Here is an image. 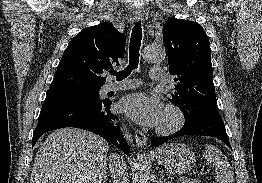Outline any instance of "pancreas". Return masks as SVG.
Returning <instances> with one entry per match:
<instances>
[{"label": "pancreas", "mask_w": 262, "mask_h": 183, "mask_svg": "<svg viewBox=\"0 0 262 183\" xmlns=\"http://www.w3.org/2000/svg\"><path fill=\"white\" fill-rule=\"evenodd\" d=\"M182 183H199V182L195 179H185Z\"/></svg>", "instance_id": "obj_1"}]
</instances>
